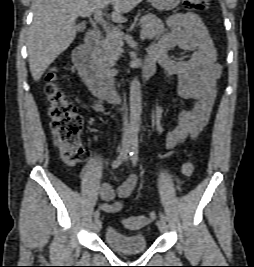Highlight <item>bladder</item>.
<instances>
[{
    "label": "bladder",
    "mask_w": 254,
    "mask_h": 267,
    "mask_svg": "<svg viewBox=\"0 0 254 267\" xmlns=\"http://www.w3.org/2000/svg\"><path fill=\"white\" fill-rule=\"evenodd\" d=\"M104 239L111 248L124 253L142 252L147 248V240L140 232L127 233L109 227L105 231Z\"/></svg>",
    "instance_id": "31cf9c89"
}]
</instances>
